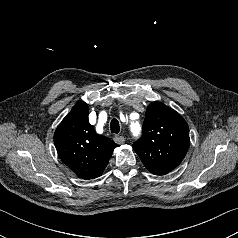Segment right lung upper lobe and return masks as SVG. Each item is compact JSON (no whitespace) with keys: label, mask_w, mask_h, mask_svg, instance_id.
Returning <instances> with one entry per match:
<instances>
[{"label":"right lung upper lobe","mask_w":238,"mask_h":238,"mask_svg":"<svg viewBox=\"0 0 238 238\" xmlns=\"http://www.w3.org/2000/svg\"><path fill=\"white\" fill-rule=\"evenodd\" d=\"M88 106L77 103L54 133V143L62 162L78 177L88 180L99 177L118 146L99 135L88 120Z\"/></svg>","instance_id":"1"}]
</instances>
